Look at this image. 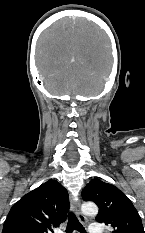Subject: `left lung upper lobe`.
Instances as JSON below:
<instances>
[{
  "label": "left lung upper lobe",
  "instance_id": "5c2ea615",
  "mask_svg": "<svg viewBox=\"0 0 145 233\" xmlns=\"http://www.w3.org/2000/svg\"><path fill=\"white\" fill-rule=\"evenodd\" d=\"M82 197L98 205L96 221L110 225L111 233H145L134 205L114 185L93 179L83 189Z\"/></svg>",
  "mask_w": 145,
  "mask_h": 233
}]
</instances>
